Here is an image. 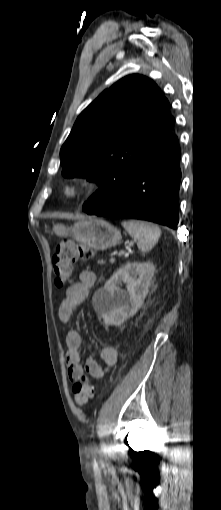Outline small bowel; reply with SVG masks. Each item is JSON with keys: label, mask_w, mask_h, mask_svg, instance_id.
<instances>
[{"label": "small bowel", "mask_w": 221, "mask_h": 510, "mask_svg": "<svg viewBox=\"0 0 221 510\" xmlns=\"http://www.w3.org/2000/svg\"><path fill=\"white\" fill-rule=\"evenodd\" d=\"M95 280L96 276L92 271L84 270L80 273L78 281L68 287L58 310L61 322L67 323L72 319L74 313L94 286ZM81 345L82 337L80 333L77 330L68 331L66 334V361L71 381H76L85 372L94 379H100L116 364V349L112 346H105L100 352L104 365L99 364L93 356H89L83 366L81 364Z\"/></svg>", "instance_id": "small-bowel-1"}]
</instances>
